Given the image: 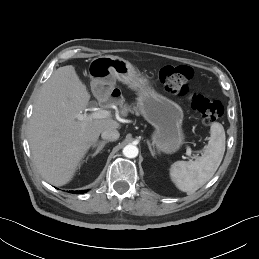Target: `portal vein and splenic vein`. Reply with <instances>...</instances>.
Instances as JSON below:
<instances>
[{
  "mask_svg": "<svg viewBox=\"0 0 259 259\" xmlns=\"http://www.w3.org/2000/svg\"><path fill=\"white\" fill-rule=\"evenodd\" d=\"M111 115L110 111L108 110H102V109H97L96 111L92 112L90 115H78L79 120H87V119H102V118H109ZM186 154L191 157L192 150L188 146L186 149Z\"/></svg>",
  "mask_w": 259,
  "mask_h": 259,
  "instance_id": "portal-vein-and-splenic-vein-1",
  "label": "portal vein and splenic vein"
}]
</instances>
